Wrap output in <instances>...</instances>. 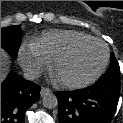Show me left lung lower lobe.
Listing matches in <instances>:
<instances>
[{"instance_id":"0a47b994","label":"left lung lower lobe","mask_w":123,"mask_h":123,"mask_svg":"<svg viewBox=\"0 0 123 123\" xmlns=\"http://www.w3.org/2000/svg\"><path fill=\"white\" fill-rule=\"evenodd\" d=\"M119 92L120 85L99 82L75 92H56L59 123H110Z\"/></svg>"}]
</instances>
